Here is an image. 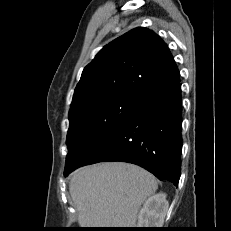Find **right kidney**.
<instances>
[{
	"label": "right kidney",
	"instance_id": "ca27d5eb",
	"mask_svg": "<svg viewBox=\"0 0 231 231\" xmlns=\"http://www.w3.org/2000/svg\"><path fill=\"white\" fill-rule=\"evenodd\" d=\"M166 194L158 193L150 196L138 215L139 228H161L168 211Z\"/></svg>",
	"mask_w": 231,
	"mask_h": 231
}]
</instances>
